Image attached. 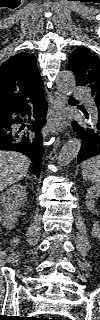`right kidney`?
<instances>
[{
	"mask_svg": "<svg viewBox=\"0 0 100 320\" xmlns=\"http://www.w3.org/2000/svg\"><path fill=\"white\" fill-rule=\"evenodd\" d=\"M27 201L26 187L16 184L0 195V222L7 229L15 228L17 218L21 215L20 208Z\"/></svg>",
	"mask_w": 100,
	"mask_h": 320,
	"instance_id": "right-kidney-1",
	"label": "right kidney"
}]
</instances>
